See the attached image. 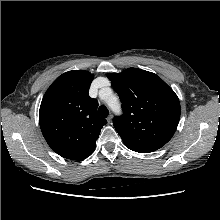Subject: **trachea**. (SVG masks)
<instances>
[{
	"label": "trachea",
	"mask_w": 220,
	"mask_h": 220,
	"mask_svg": "<svg viewBox=\"0 0 220 220\" xmlns=\"http://www.w3.org/2000/svg\"><path fill=\"white\" fill-rule=\"evenodd\" d=\"M98 113L101 117L106 118L109 114V111L105 106H100L98 109Z\"/></svg>",
	"instance_id": "1"
}]
</instances>
